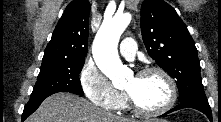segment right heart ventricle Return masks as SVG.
<instances>
[{"mask_svg":"<svg viewBox=\"0 0 221 122\" xmlns=\"http://www.w3.org/2000/svg\"><path fill=\"white\" fill-rule=\"evenodd\" d=\"M125 108H127V103H126L125 98L123 97L122 100L120 101L117 109H125Z\"/></svg>","mask_w":221,"mask_h":122,"instance_id":"right-heart-ventricle-1","label":"right heart ventricle"}]
</instances>
